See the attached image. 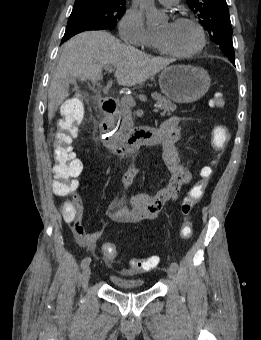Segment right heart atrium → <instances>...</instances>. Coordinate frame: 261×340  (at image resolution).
<instances>
[{
	"instance_id": "d8ad5b80",
	"label": "right heart atrium",
	"mask_w": 261,
	"mask_h": 340,
	"mask_svg": "<svg viewBox=\"0 0 261 340\" xmlns=\"http://www.w3.org/2000/svg\"><path fill=\"white\" fill-rule=\"evenodd\" d=\"M119 35L129 44L146 47L153 41L154 36L147 29L142 13L135 9H128L119 21Z\"/></svg>"
}]
</instances>
